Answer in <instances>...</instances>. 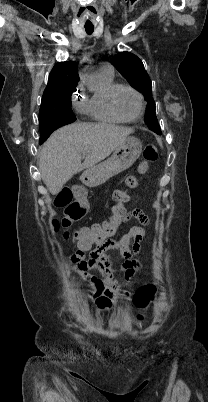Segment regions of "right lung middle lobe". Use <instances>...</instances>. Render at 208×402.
I'll return each instance as SVG.
<instances>
[{
    "label": "right lung middle lobe",
    "mask_w": 208,
    "mask_h": 402,
    "mask_svg": "<svg viewBox=\"0 0 208 402\" xmlns=\"http://www.w3.org/2000/svg\"><path fill=\"white\" fill-rule=\"evenodd\" d=\"M73 91H75V88H69L51 92L44 96L39 111V123L53 119L64 124L74 122L76 117L70 107V98ZM45 140V135L41 133L39 143L42 144Z\"/></svg>",
    "instance_id": "dd1d6c3e"
}]
</instances>
